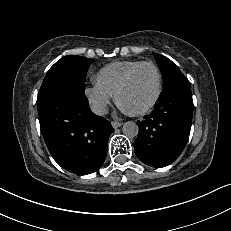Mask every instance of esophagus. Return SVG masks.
<instances>
[{
    "mask_svg": "<svg viewBox=\"0 0 231 231\" xmlns=\"http://www.w3.org/2000/svg\"><path fill=\"white\" fill-rule=\"evenodd\" d=\"M111 125L113 126V128L117 129L118 127L122 126V123L118 121H112Z\"/></svg>",
    "mask_w": 231,
    "mask_h": 231,
    "instance_id": "1",
    "label": "esophagus"
}]
</instances>
